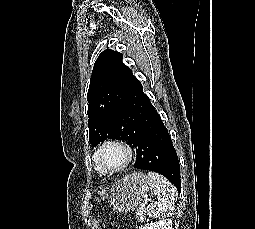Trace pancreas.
Wrapping results in <instances>:
<instances>
[{
	"label": "pancreas",
	"instance_id": "cf45deb5",
	"mask_svg": "<svg viewBox=\"0 0 255 229\" xmlns=\"http://www.w3.org/2000/svg\"><path fill=\"white\" fill-rule=\"evenodd\" d=\"M136 219L138 222L140 223H143L146 219V216H145V210H139L136 214Z\"/></svg>",
	"mask_w": 255,
	"mask_h": 229
}]
</instances>
